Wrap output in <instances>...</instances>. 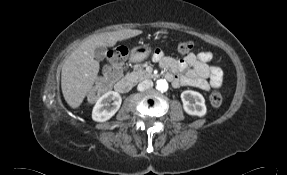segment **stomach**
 <instances>
[{
    "mask_svg": "<svg viewBox=\"0 0 287 175\" xmlns=\"http://www.w3.org/2000/svg\"><path fill=\"white\" fill-rule=\"evenodd\" d=\"M150 53L151 49L149 46L147 45L138 46L131 50L130 59L133 62H139L147 58Z\"/></svg>",
    "mask_w": 287,
    "mask_h": 175,
    "instance_id": "1",
    "label": "stomach"
}]
</instances>
